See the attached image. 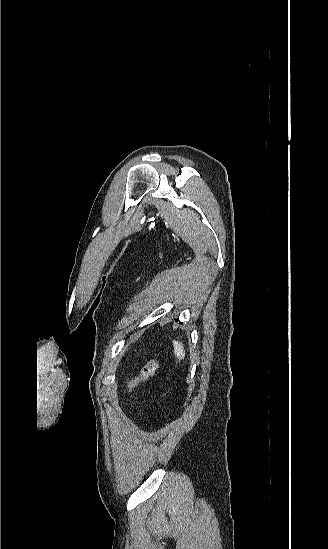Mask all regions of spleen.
I'll return each mask as SVG.
<instances>
[{
  "label": "spleen",
  "mask_w": 328,
  "mask_h": 549,
  "mask_svg": "<svg viewBox=\"0 0 328 549\" xmlns=\"http://www.w3.org/2000/svg\"><path fill=\"white\" fill-rule=\"evenodd\" d=\"M173 347H174V353L175 357L179 359V361H182L185 357V351L182 343H179V341H172Z\"/></svg>",
  "instance_id": "spleen-1"
}]
</instances>
